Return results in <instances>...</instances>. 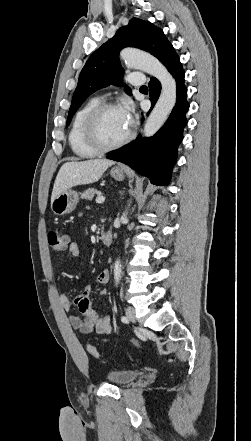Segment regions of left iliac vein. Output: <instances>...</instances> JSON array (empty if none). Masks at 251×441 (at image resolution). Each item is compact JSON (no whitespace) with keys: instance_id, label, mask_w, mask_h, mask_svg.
Here are the masks:
<instances>
[{"instance_id":"left-iliac-vein-1","label":"left iliac vein","mask_w":251,"mask_h":441,"mask_svg":"<svg viewBox=\"0 0 251 441\" xmlns=\"http://www.w3.org/2000/svg\"><path fill=\"white\" fill-rule=\"evenodd\" d=\"M126 316L131 322H133V323L136 322L135 311L133 308H131V307L127 308Z\"/></svg>"}]
</instances>
